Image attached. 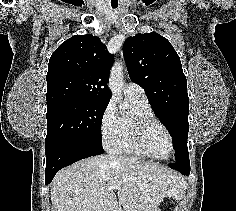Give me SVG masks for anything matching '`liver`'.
Masks as SVG:
<instances>
[{
  "label": "liver",
  "mask_w": 236,
  "mask_h": 211,
  "mask_svg": "<svg viewBox=\"0 0 236 211\" xmlns=\"http://www.w3.org/2000/svg\"><path fill=\"white\" fill-rule=\"evenodd\" d=\"M116 184H121L117 195L107 190ZM183 184L176 172L158 164L100 155L60 170L50 192L54 211H120V205L124 211H154Z\"/></svg>",
  "instance_id": "1"
}]
</instances>
